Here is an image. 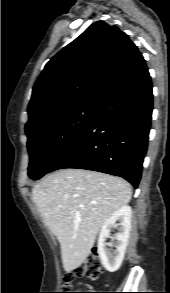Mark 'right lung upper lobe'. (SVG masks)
I'll list each match as a JSON object with an SVG mask.
<instances>
[{"label": "right lung upper lobe", "mask_w": 170, "mask_h": 293, "mask_svg": "<svg viewBox=\"0 0 170 293\" xmlns=\"http://www.w3.org/2000/svg\"><path fill=\"white\" fill-rule=\"evenodd\" d=\"M147 73L129 37L97 21L46 64L33 87L25 130L77 105H100Z\"/></svg>", "instance_id": "obj_1"}]
</instances>
